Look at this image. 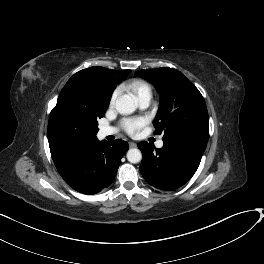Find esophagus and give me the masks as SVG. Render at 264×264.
Wrapping results in <instances>:
<instances>
[{
  "label": "esophagus",
  "mask_w": 264,
  "mask_h": 264,
  "mask_svg": "<svg viewBox=\"0 0 264 264\" xmlns=\"http://www.w3.org/2000/svg\"><path fill=\"white\" fill-rule=\"evenodd\" d=\"M129 146H130V148H134V147H136L137 145H136V143H134V142H130V143H129Z\"/></svg>",
  "instance_id": "1"
}]
</instances>
